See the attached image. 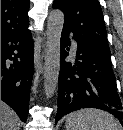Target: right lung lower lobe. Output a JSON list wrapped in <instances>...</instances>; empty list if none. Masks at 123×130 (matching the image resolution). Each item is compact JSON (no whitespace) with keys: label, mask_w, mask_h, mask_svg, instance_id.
I'll return each mask as SVG.
<instances>
[{"label":"right lung lower lobe","mask_w":123,"mask_h":130,"mask_svg":"<svg viewBox=\"0 0 123 130\" xmlns=\"http://www.w3.org/2000/svg\"><path fill=\"white\" fill-rule=\"evenodd\" d=\"M32 75L30 31L1 35V100L12 107L23 122L27 120Z\"/></svg>","instance_id":"right-lung-lower-lobe-1"}]
</instances>
